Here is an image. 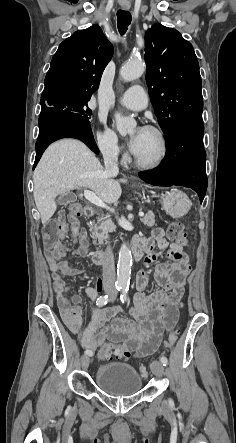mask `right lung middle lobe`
<instances>
[{
	"label": "right lung middle lobe",
	"instance_id": "right-lung-middle-lobe-1",
	"mask_svg": "<svg viewBox=\"0 0 236 443\" xmlns=\"http://www.w3.org/2000/svg\"><path fill=\"white\" fill-rule=\"evenodd\" d=\"M89 98L59 94L49 97L45 101L41 102L42 109L47 107H55L66 111L71 117L78 121L90 125L89 119L91 118L92 111L87 107V101Z\"/></svg>",
	"mask_w": 236,
	"mask_h": 443
}]
</instances>
